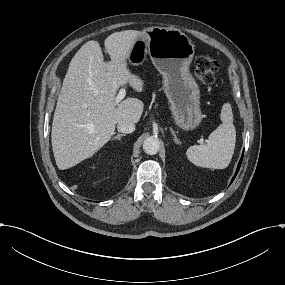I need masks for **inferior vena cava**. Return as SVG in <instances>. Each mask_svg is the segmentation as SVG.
<instances>
[{"mask_svg":"<svg viewBox=\"0 0 285 285\" xmlns=\"http://www.w3.org/2000/svg\"><path fill=\"white\" fill-rule=\"evenodd\" d=\"M118 132L132 133L135 130V125L132 122L121 120L117 124Z\"/></svg>","mask_w":285,"mask_h":285,"instance_id":"inferior-vena-cava-1","label":"inferior vena cava"}]
</instances>
